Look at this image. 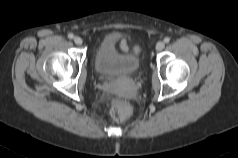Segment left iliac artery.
Wrapping results in <instances>:
<instances>
[{
  "label": "left iliac artery",
  "instance_id": "left-iliac-artery-1",
  "mask_svg": "<svg viewBox=\"0 0 238 158\" xmlns=\"http://www.w3.org/2000/svg\"><path fill=\"white\" fill-rule=\"evenodd\" d=\"M164 42L165 43H169L170 42V38L169 37H165Z\"/></svg>",
  "mask_w": 238,
  "mask_h": 158
}]
</instances>
